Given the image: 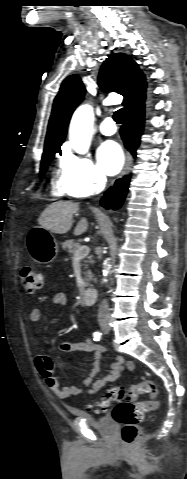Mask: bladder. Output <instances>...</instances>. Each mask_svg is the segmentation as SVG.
Returning a JSON list of instances; mask_svg holds the SVG:
<instances>
[{
	"mask_svg": "<svg viewBox=\"0 0 187 479\" xmlns=\"http://www.w3.org/2000/svg\"><path fill=\"white\" fill-rule=\"evenodd\" d=\"M72 414L85 419L90 425L95 427L101 434L110 435L115 431L116 425L112 418H95L83 410H75Z\"/></svg>",
	"mask_w": 187,
	"mask_h": 479,
	"instance_id": "bladder-1",
	"label": "bladder"
}]
</instances>
